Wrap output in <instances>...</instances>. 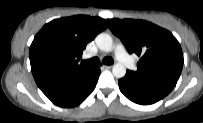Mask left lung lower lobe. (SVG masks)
I'll return each instance as SVG.
<instances>
[{"instance_id": "left-lung-lower-lobe-1", "label": "left lung lower lobe", "mask_w": 203, "mask_h": 123, "mask_svg": "<svg viewBox=\"0 0 203 123\" xmlns=\"http://www.w3.org/2000/svg\"><path fill=\"white\" fill-rule=\"evenodd\" d=\"M120 91L132 102L153 104L168 95L175 85L154 78L138 76L130 71L118 81Z\"/></svg>"}]
</instances>
